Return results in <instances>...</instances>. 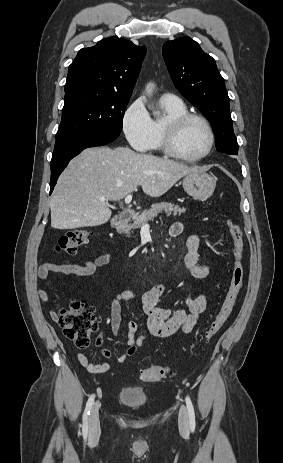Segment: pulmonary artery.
Listing matches in <instances>:
<instances>
[{
  "instance_id": "1",
  "label": "pulmonary artery",
  "mask_w": 283,
  "mask_h": 463,
  "mask_svg": "<svg viewBox=\"0 0 283 463\" xmlns=\"http://www.w3.org/2000/svg\"><path fill=\"white\" fill-rule=\"evenodd\" d=\"M161 99H167V100H173V99H177V97L173 94H170V93H166L162 96Z\"/></svg>"
}]
</instances>
